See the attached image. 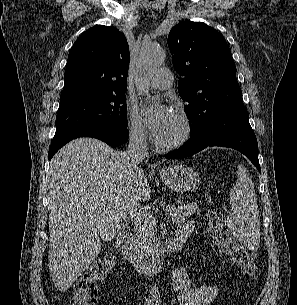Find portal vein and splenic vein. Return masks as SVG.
Instances as JSON below:
<instances>
[{
	"label": "portal vein and splenic vein",
	"instance_id": "obj_1",
	"mask_svg": "<svg viewBox=\"0 0 297 305\" xmlns=\"http://www.w3.org/2000/svg\"><path fill=\"white\" fill-rule=\"evenodd\" d=\"M165 212H166V213H170V212H171V206H169L168 208H166ZM145 215H146V213H143V214L138 213V214H137V218H139V217H141V216H145Z\"/></svg>",
	"mask_w": 297,
	"mask_h": 305
}]
</instances>
